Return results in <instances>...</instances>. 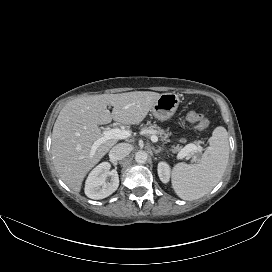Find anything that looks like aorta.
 I'll return each instance as SVG.
<instances>
[{
  "mask_svg": "<svg viewBox=\"0 0 272 272\" xmlns=\"http://www.w3.org/2000/svg\"><path fill=\"white\" fill-rule=\"evenodd\" d=\"M148 159V154L145 151H138L135 154V161L139 164H144Z\"/></svg>",
  "mask_w": 272,
  "mask_h": 272,
  "instance_id": "aorta-1",
  "label": "aorta"
}]
</instances>
